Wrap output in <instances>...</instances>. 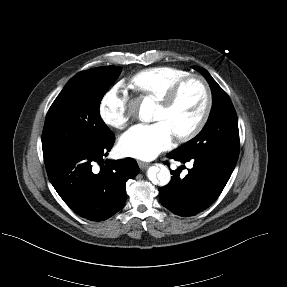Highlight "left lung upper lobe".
Returning a JSON list of instances; mask_svg holds the SVG:
<instances>
[{
    "instance_id": "obj_1",
    "label": "left lung upper lobe",
    "mask_w": 287,
    "mask_h": 287,
    "mask_svg": "<svg viewBox=\"0 0 287 287\" xmlns=\"http://www.w3.org/2000/svg\"><path fill=\"white\" fill-rule=\"evenodd\" d=\"M207 79L212 90L213 104L202 131L176 151L179 153H210L237 162L239 130L235 109L229 96L204 68L194 66Z\"/></svg>"
}]
</instances>
